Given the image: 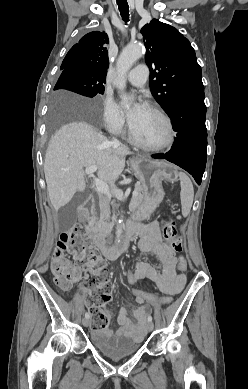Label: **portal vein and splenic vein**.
<instances>
[{
  "instance_id": "1",
  "label": "portal vein and splenic vein",
  "mask_w": 248,
  "mask_h": 389,
  "mask_svg": "<svg viewBox=\"0 0 248 389\" xmlns=\"http://www.w3.org/2000/svg\"><path fill=\"white\" fill-rule=\"evenodd\" d=\"M96 170H97V166L91 165L89 167H86L85 173L87 175H92V173L95 172ZM94 183H95L97 191L99 193H102V194L106 195L109 199H111L112 195L110 193V189H109L108 185L103 180H101L99 178H94ZM132 195L136 196L137 192L133 191Z\"/></svg>"
}]
</instances>
